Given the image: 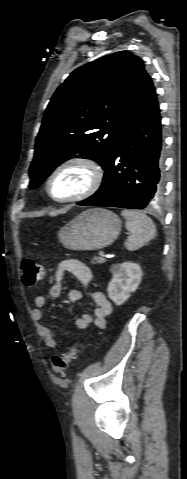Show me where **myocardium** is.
Instances as JSON below:
<instances>
[{
  "label": "myocardium",
  "mask_w": 187,
  "mask_h": 479,
  "mask_svg": "<svg viewBox=\"0 0 187 479\" xmlns=\"http://www.w3.org/2000/svg\"><path fill=\"white\" fill-rule=\"evenodd\" d=\"M83 167L88 173V181L83 189L74 195L66 198H57L51 193V184L54 179L63 171L70 167ZM104 172L101 165L93 158L88 156H73L61 162L48 176L45 183V192L47 196L56 203H73L89 198L95 194L102 185Z\"/></svg>",
  "instance_id": "obj_1"
}]
</instances>
